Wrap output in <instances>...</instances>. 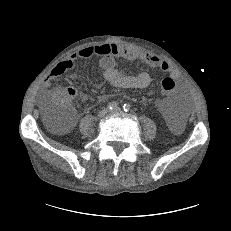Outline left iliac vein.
<instances>
[{"label":"left iliac vein","instance_id":"1","mask_svg":"<svg viewBox=\"0 0 231 231\" xmlns=\"http://www.w3.org/2000/svg\"><path fill=\"white\" fill-rule=\"evenodd\" d=\"M112 113H120L121 112V109L119 107H116L115 109H113L111 111Z\"/></svg>","mask_w":231,"mask_h":231}]
</instances>
